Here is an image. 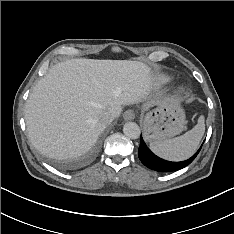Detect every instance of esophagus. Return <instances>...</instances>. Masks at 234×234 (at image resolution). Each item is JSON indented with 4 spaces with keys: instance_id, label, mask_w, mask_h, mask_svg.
<instances>
[{
    "instance_id": "1",
    "label": "esophagus",
    "mask_w": 234,
    "mask_h": 234,
    "mask_svg": "<svg viewBox=\"0 0 234 234\" xmlns=\"http://www.w3.org/2000/svg\"><path fill=\"white\" fill-rule=\"evenodd\" d=\"M123 119L126 121H131L135 119V112L133 110H127L123 114Z\"/></svg>"
}]
</instances>
